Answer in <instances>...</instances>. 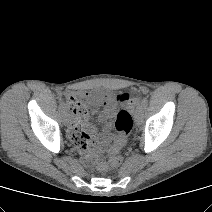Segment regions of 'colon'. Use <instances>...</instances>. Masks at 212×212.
<instances>
[{"label": "colon", "mask_w": 212, "mask_h": 212, "mask_svg": "<svg viewBox=\"0 0 212 212\" xmlns=\"http://www.w3.org/2000/svg\"><path fill=\"white\" fill-rule=\"evenodd\" d=\"M116 100L121 102H127L131 106L134 104L133 92L131 91H121L116 93ZM67 105L69 110L74 115H82L87 112L86 104L78 97L71 96L67 100ZM133 125L132 116L129 111L122 110L118 113L116 119V130L118 132V137L114 142V146L112 148V153L108 159V162H100L98 165V169L101 172L106 171L109 167L119 166L122 162V157L118 154L119 148L125 143L128 134L130 133Z\"/></svg>", "instance_id": "1"}]
</instances>
